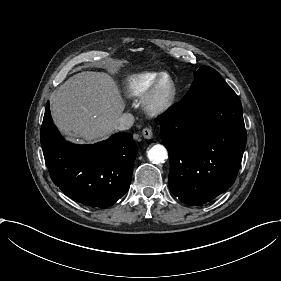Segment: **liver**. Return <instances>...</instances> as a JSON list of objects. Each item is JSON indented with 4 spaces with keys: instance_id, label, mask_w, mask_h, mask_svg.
Here are the masks:
<instances>
[{
    "instance_id": "1",
    "label": "liver",
    "mask_w": 281,
    "mask_h": 281,
    "mask_svg": "<svg viewBox=\"0 0 281 281\" xmlns=\"http://www.w3.org/2000/svg\"><path fill=\"white\" fill-rule=\"evenodd\" d=\"M53 120L65 134L86 142L108 138L115 132L125 103L114 79L105 72L84 71L70 77L50 97Z\"/></svg>"
}]
</instances>
